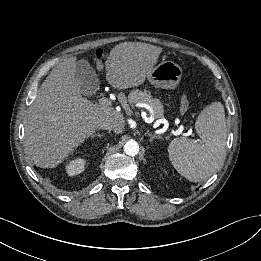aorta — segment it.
I'll list each match as a JSON object with an SVG mask.
<instances>
[{
	"label": "aorta",
	"instance_id": "obj_1",
	"mask_svg": "<svg viewBox=\"0 0 261 261\" xmlns=\"http://www.w3.org/2000/svg\"><path fill=\"white\" fill-rule=\"evenodd\" d=\"M124 152L129 156H135L139 152V145L134 140H129L124 145Z\"/></svg>",
	"mask_w": 261,
	"mask_h": 261
}]
</instances>
